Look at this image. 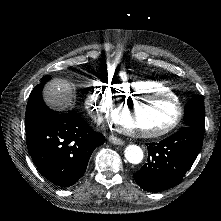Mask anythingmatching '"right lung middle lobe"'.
<instances>
[{"instance_id": "1", "label": "right lung middle lobe", "mask_w": 221, "mask_h": 221, "mask_svg": "<svg viewBox=\"0 0 221 221\" xmlns=\"http://www.w3.org/2000/svg\"><path fill=\"white\" fill-rule=\"evenodd\" d=\"M50 79V76L42 77L41 82L32 90L27 102L25 121L32 117L52 112V110L45 105L41 93L44 84Z\"/></svg>"}]
</instances>
